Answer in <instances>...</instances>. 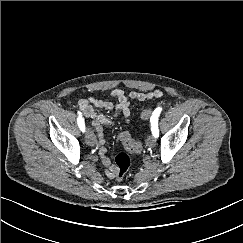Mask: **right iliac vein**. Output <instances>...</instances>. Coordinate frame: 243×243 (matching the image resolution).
I'll return each instance as SVG.
<instances>
[{
	"label": "right iliac vein",
	"mask_w": 243,
	"mask_h": 243,
	"mask_svg": "<svg viewBox=\"0 0 243 243\" xmlns=\"http://www.w3.org/2000/svg\"><path fill=\"white\" fill-rule=\"evenodd\" d=\"M85 138H86V143L89 146H94L96 144L95 136L90 128L87 129Z\"/></svg>",
	"instance_id": "obj_1"
}]
</instances>
